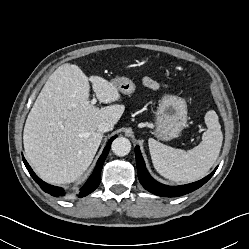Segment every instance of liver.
<instances>
[{
	"mask_svg": "<svg viewBox=\"0 0 249 249\" xmlns=\"http://www.w3.org/2000/svg\"><path fill=\"white\" fill-rule=\"evenodd\" d=\"M91 82L97 99L89 103ZM119 90L100 76L87 77L76 65L58 67L38 95L25 123V154L35 172L50 184L79 178L92 163L103 133L100 122L114 126L124 112Z\"/></svg>",
	"mask_w": 249,
	"mask_h": 249,
	"instance_id": "obj_1",
	"label": "liver"
}]
</instances>
